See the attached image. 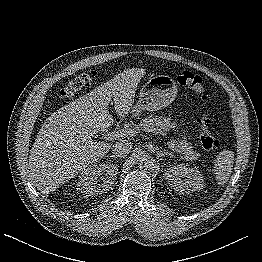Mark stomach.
Returning a JSON list of instances; mask_svg holds the SVG:
<instances>
[{
	"label": "stomach",
	"instance_id": "1",
	"mask_svg": "<svg viewBox=\"0 0 262 262\" xmlns=\"http://www.w3.org/2000/svg\"><path fill=\"white\" fill-rule=\"evenodd\" d=\"M178 92L176 81L169 75H152L143 85L139 100L132 108L133 115L142 110L157 111L175 100Z\"/></svg>",
	"mask_w": 262,
	"mask_h": 262
}]
</instances>
